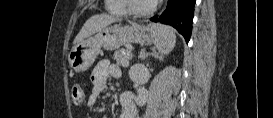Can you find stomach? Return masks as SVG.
<instances>
[{
    "label": "stomach",
    "mask_w": 273,
    "mask_h": 118,
    "mask_svg": "<svg viewBox=\"0 0 273 118\" xmlns=\"http://www.w3.org/2000/svg\"><path fill=\"white\" fill-rule=\"evenodd\" d=\"M152 42L151 36L140 25L106 26L73 46L68 54L69 66L75 72H85L92 66L102 48L115 50L130 43L148 45Z\"/></svg>",
    "instance_id": "obj_1"
}]
</instances>
